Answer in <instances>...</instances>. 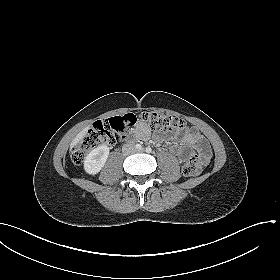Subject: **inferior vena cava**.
Segmentation results:
<instances>
[{
    "label": "inferior vena cava",
    "instance_id": "1",
    "mask_svg": "<svg viewBox=\"0 0 280 280\" xmlns=\"http://www.w3.org/2000/svg\"><path fill=\"white\" fill-rule=\"evenodd\" d=\"M126 147H128V146H126ZM126 147L123 149V152H126V150H125V149H126Z\"/></svg>",
    "mask_w": 280,
    "mask_h": 280
}]
</instances>
